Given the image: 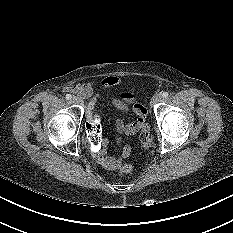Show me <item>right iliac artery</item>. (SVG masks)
Masks as SVG:
<instances>
[{"label":"right iliac artery","instance_id":"1","mask_svg":"<svg viewBox=\"0 0 233 233\" xmlns=\"http://www.w3.org/2000/svg\"><path fill=\"white\" fill-rule=\"evenodd\" d=\"M71 98H72V96H71L70 94H67V95H66V99H67V100H70Z\"/></svg>","mask_w":233,"mask_h":233}]
</instances>
